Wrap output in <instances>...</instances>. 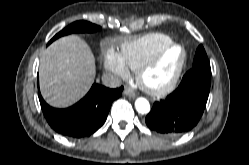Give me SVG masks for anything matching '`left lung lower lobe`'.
<instances>
[{"instance_id": "1", "label": "left lung lower lobe", "mask_w": 249, "mask_h": 165, "mask_svg": "<svg viewBox=\"0 0 249 165\" xmlns=\"http://www.w3.org/2000/svg\"><path fill=\"white\" fill-rule=\"evenodd\" d=\"M211 84V70L191 68L178 88L153 104L147 126L160 134L176 137L190 131L205 109Z\"/></svg>"}]
</instances>
